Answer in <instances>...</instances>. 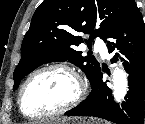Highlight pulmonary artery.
Returning a JSON list of instances; mask_svg holds the SVG:
<instances>
[{
	"instance_id": "pulmonary-artery-1",
	"label": "pulmonary artery",
	"mask_w": 145,
	"mask_h": 124,
	"mask_svg": "<svg viewBox=\"0 0 145 124\" xmlns=\"http://www.w3.org/2000/svg\"><path fill=\"white\" fill-rule=\"evenodd\" d=\"M95 49H96V51H98L101 54L102 57H104V58L108 57L107 48L100 41H96V43H95Z\"/></svg>"
}]
</instances>
